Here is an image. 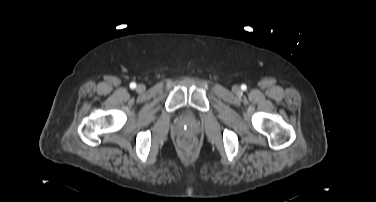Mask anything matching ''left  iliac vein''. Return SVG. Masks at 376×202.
<instances>
[{"label":"left iliac vein","mask_w":376,"mask_h":202,"mask_svg":"<svg viewBox=\"0 0 376 202\" xmlns=\"http://www.w3.org/2000/svg\"><path fill=\"white\" fill-rule=\"evenodd\" d=\"M233 91H234L235 93H239V92L241 91V88H240L239 86L235 85V86L233 87Z\"/></svg>","instance_id":"left-iliac-vein-1"}]
</instances>
